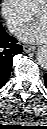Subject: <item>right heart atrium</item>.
Instances as JSON below:
<instances>
[{
    "label": "right heart atrium",
    "instance_id": "1",
    "mask_svg": "<svg viewBox=\"0 0 47 129\" xmlns=\"http://www.w3.org/2000/svg\"><path fill=\"white\" fill-rule=\"evenodd\" d=\"M1 13L9 30L13 33L18 32L32 18V13L27 10L21 0H2Z\"/></svg>",
    "mask_w": 47,
    "mask_h": 129
}]
</instances>
